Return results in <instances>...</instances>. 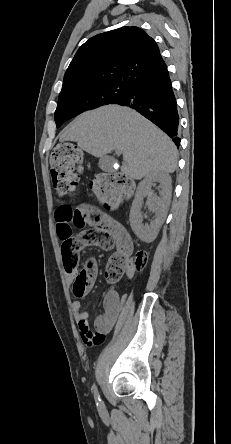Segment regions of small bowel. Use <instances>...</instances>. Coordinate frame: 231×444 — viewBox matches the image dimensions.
<instances>
[{
  "label": "small bowel",
  "instance_id": "c3829d8e",
  "mask_svg": "<svg viewBox=\"0 0 231 444\" xmlns=\"http://www.w3.org/2000/svg\"><path fill=\"white\" fill-rule=\"evenodd\" d=\"M75 211L83 214L97 213L98 218L90 221L91 230L83 231L78 235L73 234L71 214L72 209L67 203H60L55 211V221L58 237L61 241L62 256L65 250H72L79 253L84 247L99 246L103 249H110L115 246L116 251H125L129 255L133 250L132 239L127 230L115 219L97 211L89 204L79 206ZM70 280L76 275V270L65 269ZM132 272L128 271V277ZM126 295L120 296L115 290H108L103 299L104 313L97 316L94 321V329L89 326V314L81 309L79 300L72 303V312L78 326L79 335L82 341L88 346L98 345L105 339L115 326L121 309L126 302Z\"/></svg>",
  "mask_w": 231,
  "mask_h": 444
}]
</instances>
